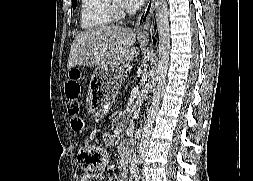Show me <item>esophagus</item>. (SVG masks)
<instances>
[{
    "mask_svg": "<svg viewBox=\"0 0 253 181\" xmlns=\"http://www.w3.org/2000/svg\"><path fill=\"white\" fill-rule=\"evenodd\" d=\"M154 13V0H146L145 6L138 15L135 25V34L137 38L148 41L150 33V24Z\"/></svg>",
    "mask_w": 253,
    "mask_h": 181,
    "instance_id": "obj_1",
    "label": "esophagus"
}]
</instances>
